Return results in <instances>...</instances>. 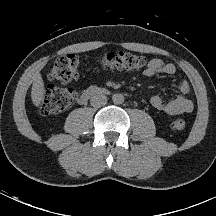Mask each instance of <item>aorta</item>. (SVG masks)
I'll list each match as a JSON object with an SVG mask.
<instances>
[{"label": "aorta", "instance_id": "762f6f07", "mask_svg": "<svg viewBox=\"0 0 216 216\" xmlns=\"http://www.w3.org/2000/svg\"><path fill=\"white\" fill-rule=\"evenodd\" d=\"M124 100H125L124 95L121 93H116L113 94L112 96V101L114 104L120 105L124 102Z\"/></svg>", "mask_w": 216, "mask_h": 216}]
</instances>
